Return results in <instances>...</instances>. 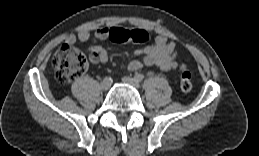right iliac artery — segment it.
<instances>
[{"label": "right iliac artery", "instance_id": "obj_1", "mask_svg": "<svg viewBox=\"0 0 259 156\" xmlns=\"http://www.w3.org/2000/svg\"><path fill=\"white\" fill-rule=\"evenodd\" d=\"M104 80L111 81L110 77H105Z\"/></svg>", "mask_w": 259, "mask_h": 156}]
</instances>
